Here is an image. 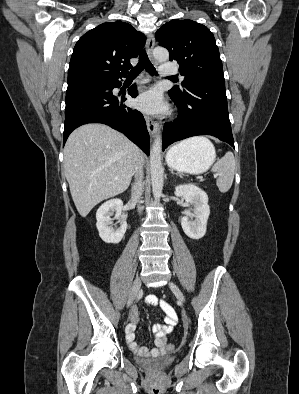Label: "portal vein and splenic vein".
I'll list each match as a JSON object with an SVG mask.
<instances>
[{
    "label": "portal vein and splenic vein",
    "instance_id": "portal-vein-and-splenic-vein-1",
    "mask_svg": "<svg viewBox=\"0 0 299 394\" xmlns=\"http://www.w3.org/2000/svg\"><path fill=\"white\" fill-rule=\"evenodd\" d=\"M218 175L217 174H214V178H216Z\"/></svg>",
    "mask_w": 299,
    "mask_h": 394
}]
</instances>
